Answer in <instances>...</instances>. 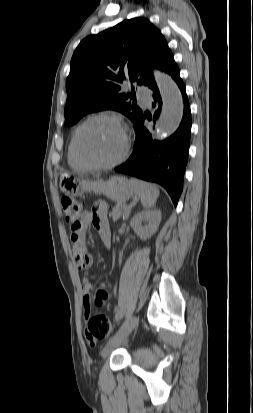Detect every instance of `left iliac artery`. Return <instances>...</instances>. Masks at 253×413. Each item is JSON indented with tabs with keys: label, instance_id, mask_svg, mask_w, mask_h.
Listing matches in <instances>:
<instances>
[{
	"label": "left iliac artery",
	"instance_id": "obj_1",
	"mask_svg": "<svg viewBox=\"0 0 253 413\" xmlns=\"http://www.w3.org/2000/svg\"><path fill=\"white\" fill-rule=\"evenodd\" d=\"M122 315H123V313L121 312L116 316V318L119 319L120 317H122Z\"/></svg>",
	"mask_w": 253,
	"mask_h": 413
}]
</instances>
